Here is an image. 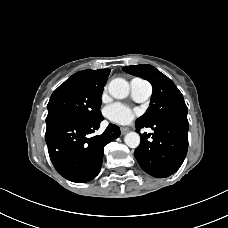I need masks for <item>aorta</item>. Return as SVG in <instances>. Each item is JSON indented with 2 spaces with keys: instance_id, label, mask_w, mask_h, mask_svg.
Instances as JSON below:
<instances>
[{
  "instance_id": "762f6f07",
  "label": "aorta",
  "mask_w": 228,
  "mask_h": 228,
  "mask_svg": "<svg viewBox=\"0 0 228 228\" xmlns=\"http://www.w3.org/2000/svg\"><path fill=\"white\" fill-rule=\"evenodd\" d=\"M129 90V84L123 78H115L108 84L109 94L116 99L126 98ZM124 142L130 148H137L140 144V136L136 132H129L125 135Z\"/></svg>"
}]
</instances>
